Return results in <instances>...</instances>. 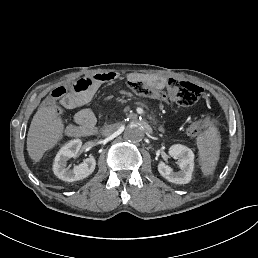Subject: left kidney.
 Returning a JSON list of instances; mask_svg holds the SVG:
<instances>
[{
	"instance_id": "obj_1",
	"label": "left kidney",
	"mask_w": 258,
	"mask_h": 258,
	"mask_svg": "<svg viewBox=\"0 0 258 258\" xmlns=\"http://www.w3.org/2000/svg\"><path fill=\"white\" fill-rule=\"evenodd\" d=\"M170 155L179 160L181 171L174 172L164 163L159 165L160 174L168 181L176 184H187L191 181L194 173V153L185 145L173 144L169 148Z\"/></svg>"
}]
</instances>
